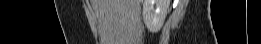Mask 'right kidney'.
Segmentation results:
<instances>
[{"label": "right kidney", "mask_w": 261, "mask_h": 44, "mask_svg": "<svg viewBox=\"0 0 261 44\" xmlns=\"http://www.w3.org/2000/svg\"><path fill=\"white\" fill-rule=\"evenodd\" d=\"M170 0H145L143 4V21L147 29L152 32H158L163 26L166 18Z\"/></svg>", "instance_id": "right-kidney-1"}]
</instances>
